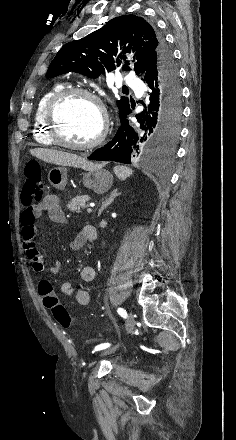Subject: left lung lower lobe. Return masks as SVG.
Segmentation results:
<instances>
[{
  "label": "left lung lower lobe",
  "mask_w": 236,
  "mask_h": 440,
  "mask_svg": "<svg viewBox=\"0 0 236 440\" xmlns=\"http://www.w3.org/2000/svg\"><path fill=\"white\" fill-rule=\"evenodd\" d=\"M151 92L144 110L136 115L139 128L126 119L131 108L120 116L121 126L114 138L94 151L88 159L130 164L147 152L161 154L169 149L179 133L182 117L181 88L173 57L151 62L142 77Z\"/></svg>",
  "instance_id": "0a47b994"
}]
</instances>
